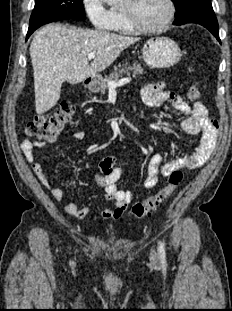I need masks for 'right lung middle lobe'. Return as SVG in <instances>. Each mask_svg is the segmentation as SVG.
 <instances>
[{"label":"right lung middle lobe","instance_id":"1","mask_svg":"<svg viewBox=\"0 0 232 311\" xmlns=\"http://www.w3.org/2000/svg\"><path fill=\"white\" fill-rule=\"evenodd\" d=\"M58 17L85 20L83 0H36L30 25Z\"/></svg>","mask_w":232,"mask_h":311}]
</instances>
